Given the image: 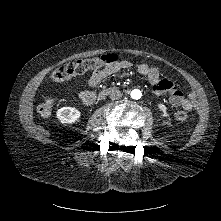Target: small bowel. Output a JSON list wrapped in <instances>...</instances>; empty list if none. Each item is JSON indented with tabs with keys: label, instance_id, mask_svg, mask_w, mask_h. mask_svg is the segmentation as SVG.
<instances>
[{
	"label": "small bowel",
	"instance_id": "c3829d8e",
	"mask_svg": "<svg viewBox=\"0 0 221 221\" xmlns=\"http://www.w3.org/2000/svg\"><path fill=\"white\" fill-rule=\"evenodd\" d=\"M127 67H130L129 62L120 61L104 69L90 71L86 76V83L92 88H99L101 81L105 77ZM136 69L140 75L146 77L152 84L150 93L153 96L168 94L169 100L175 108L189 109L191 107L190 101L184 98L182 90L172 81L165 79L156 68L146 64H139ZM94 95V92L90 90H83L79 93V97L84 102H90L94 98Z\"/></svg>",
	"mask_w": 221,
	"mask_h": 221
}]
</instances>
